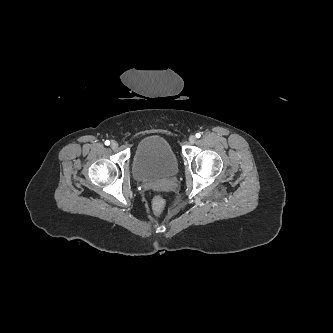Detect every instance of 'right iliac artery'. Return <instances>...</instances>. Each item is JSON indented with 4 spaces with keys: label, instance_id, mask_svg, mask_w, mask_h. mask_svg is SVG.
<instances>
[{
    "label": "right iliac artery",
    "instance_id": "right-iliac-artery-1",
    "mask_svg": "<svg viewBox=\"0 0 333 333\" xmlns=\"http://www.w3.org/2000/svg\"><path fill=\"white\" fill-rule=\"evenodd\" d=\"M109 144H110V141H109V140H106V141H105V145L108 146Z\"/></svg>",
    "mask_w": 333,
    "mask_h": 333
}]
</instances>
